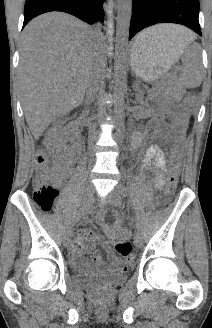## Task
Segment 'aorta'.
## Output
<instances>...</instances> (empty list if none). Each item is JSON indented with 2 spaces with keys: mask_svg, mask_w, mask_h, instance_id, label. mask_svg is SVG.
<instances>
[{
  "mask_svg": "<svg viewBox=\"0 0 212 328\" xmlns=\"http://www.w3.org/2000/svg\"><path fill=\"white\" fill-rule=\"evenodd\" d=\"M132 0H118L117 28H116V55L114 62V114L120 126L124 121V88L127 69L126 49L128 45ZM119 131V129H118Z\"/></svg>",
  "mask_w": 212,
  "mask_h": 328,
  "instance_id": "762f6f07",
  "label": "aorta"
}]
</instances>
